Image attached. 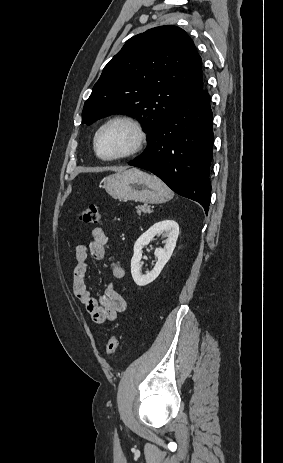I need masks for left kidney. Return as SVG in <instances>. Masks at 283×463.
<instances>
[{"label":"left kidney","mask_w":283,"mask_h":463,"mask_svg":"<svg viewBox=\"0 0 283 463\" xmlns=\"http://www.w3.org/2000/svg\"><path fill=\"white\" fill-rule=\"evenodd\" d=\"M161 234L167 237L164 248H157L154 252L157 262L151 272L142 275L140 272V261L142 258V249L148 245L156 235ZM179 235V226L174 220H163L155 223L146 232H144L134 244V254L131 259V274L134 282L138 286H145L153 282L161 273L163 267L169 261L176 246Z\"/></svg>","instance_id":"left-kidney-1"}]
</instances>
